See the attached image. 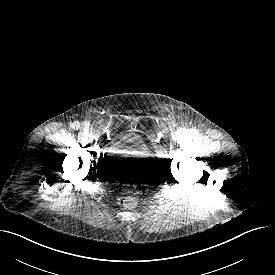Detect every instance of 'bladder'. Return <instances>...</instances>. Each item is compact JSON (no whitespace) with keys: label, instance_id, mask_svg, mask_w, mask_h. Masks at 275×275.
<instances>
[{"label":"bladder","instance_id":"bladder-1","mask_svg":"<svg viewBox=\"0 0 275 275\" xmlns=\"http://www.w3.org/2000/svg\"><path fill=\"white\" fill-rule=\"evenodd\" d=\"M158 147L148 134L135 130L119 133L105 159V168L116 179L141 180L155 169Z\"/></svg>","mask_w":275,"mask_h":275}]
</instances>
